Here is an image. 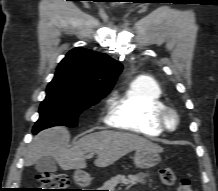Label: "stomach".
Returning <instances> with one entry per match:
<instances>
[{
  "mask_svg": "<svg viewBox=\"0 0 218 191\" xmlns=\"http://www.w3.org/2000/svg\"><path fill=\"white\" fill-rule=\"evenodd\" d=\"M161 157L159 152L153 150H137L134 156V164L137 168L147 169L159 164ZM74 180L81 186H87L91 182V177L84 171L77 170Z\"/></svg>",
  "mask_w": 218,
  "mask_h": 191,
  "instance_id": "stomach-1",
  "label": "stomach"
}]
</instances>
